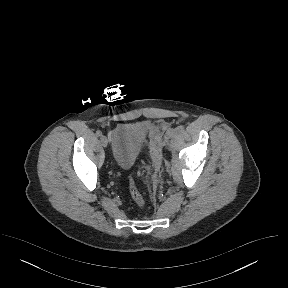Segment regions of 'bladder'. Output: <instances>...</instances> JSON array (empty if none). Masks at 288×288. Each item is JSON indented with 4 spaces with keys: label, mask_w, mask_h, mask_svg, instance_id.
I'll use <instances>...</instances> for the list:
<instances>
[{
    "label": "bladder",
    "mask_w": 288,
    "mask_h": 288,
    "mask_svg": "<svg viewBox=\"0 0 288 288\" xmlns=\"http://www.w3.org/2000/svg\"><path fill=\"white\" fill-rule=\"evenodd\" d=\"M146 135V127L136 123L122 124L111 132L112 158L119 168L128 169L134 164Z\"/></svg>",
    "instance_id": "obj_1"
}]
</instances>
